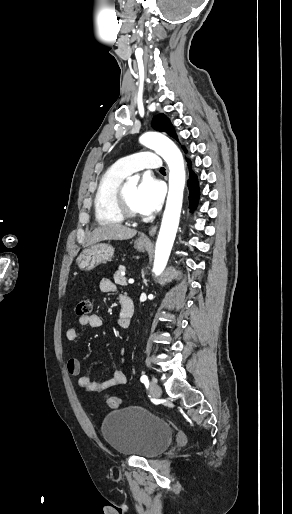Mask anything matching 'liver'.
<instances>
[{
	"label": "liver",
	"mask_w": 292,
	"mask_h": 514,
	"mask_svg": "<svg viewBox=\"0 0 292 514\" xmlns=\"http://www.w3.org/2000/svg\"><path fill=\"white\" fill-rule=\"evenodd\" d=\"M136 234L137 230H131V228H126V226H120V224L98 226V228L93 230L90 238L86 240L84 248L97 244V242H103V240H130Z\"/></svg>",
	"instance_id": "obj_1"
}]
</instances>
